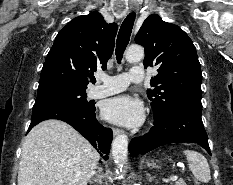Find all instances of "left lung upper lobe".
Masks as SVG:
<instances>
[{
  "instance_id": "obj_1",
  "label": "left lung upper lobe",
  "mask_w": 233,
  "mask_h": 185,
  "mask_svg": "<svg viewBox=\"0 0 233 185\" xmlns=\"http://www.w3.org/2000/svg\"><path fill=\"white\" fill-rule=\"evenodd\" d=\"M135 42L144 47V66H157L158 75L151 79L154 120L164 119L182 100L201 97V66L195 46L177 25L152 14L143 22Z\"/></svg>"
}]
</instances>
